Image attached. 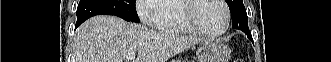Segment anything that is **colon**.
I'll list each match as a JSON object with an SVG mask.
<instances>
[{
  "instance_id": "obj_1",
  "label": "colon",
  "mask_w": 331,
  "mask_h": 62,
  "mask_svg": "<svg viewBox=\"0 0 331 62\" xmlns=\"http://www.w3.org/2000/svg\"><path fill=\"white\" fill-rule=\"evenodd\" d=\"M234 62H243L242 60H235Z\"/></svg>"
}]
</instances>
